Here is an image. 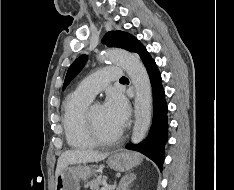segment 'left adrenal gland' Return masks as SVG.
I'll return each mask as SVG.
<instances>
[{
    "mask_svg": "<svg viewBox=\"0 0 234 190\" xmlns=\"http://www.w3.org/2000/svg\"><path fill=\"white\" fill-rule=\"evenodd\" d=\"M136 175L134 173H130L122 177L120 180L119 186L116 190H129L131 184L135 181Z\"/></svg>",
    "mask_w": 234,
    "mask_h": 190,
    "instance_id": "left-adrenal-gland-1",
    "label": "left adrenal gland"
}]
</instances>
